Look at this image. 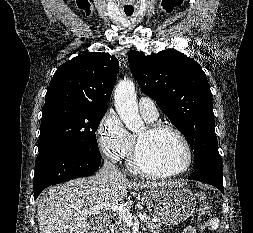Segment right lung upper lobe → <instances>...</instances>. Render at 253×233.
<instances>
[{"mask_svg": "<svg viewBox=\"0 0 253 233\" xmlns=\"http://www.w3.org/2000/svg\"><path fill=\"white\" fill-rule=\"evenodd\" d=\"M118 72V60L108 53L80 54L57 69L48 87L45 104L107 107Z\"/></svg>", "mask_w": 253, "mask_h": 233, "instance_id": "1", "label": "right lung upper lobe"}]
</instances>
